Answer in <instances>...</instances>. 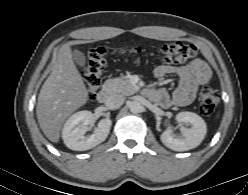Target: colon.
Instances as JSON below:
<instances>
[{"label": "colon", "mask_w": 248, "mask_h": 195, "mask_svg": "<svg viewBox=\"0 0 248 195\" xmlns=\"http://www.w3.org/2000/svg\"><path fill=\"white\" fill-rule=\"evenodd\" d=\"M109 53L110 51L105 47L93 48L88 53L83 78L90 98L95 96L101 85V78L108 64ZM119 53L128 57L132 62L138 63L142 50L138 47L124 48ZM197 54L198 48L195 45L181 41L162 44L158 50L159 60L166 64L183 63L194 58ZM198 100L201 113L210 116L217 107L219 96L216 90L205 87L200 91Z\"/></svg>", "instance_id": "obj_1"}]
</instances>
